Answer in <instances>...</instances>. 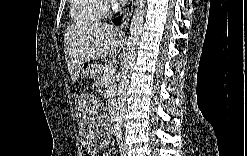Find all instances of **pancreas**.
<instances>
[{
  "label": "pancreas",
  "mask_w": 247,
  "mask_h": 156,
  "mask_svg": "<svg viewBox=\"0 0 247 156\" xmlns=\"http://www.w3.org/2000/svg\"><path fill=\"white\" fill-rule=\"evenodd\" d=\"M108 68H112V66L109 64L97 66V75L95 78V82L101 87L107 84V96L109 97L108 101L110 103L113 93L116 89V83L114 75H112L108 79L105 78V70Z\"/></svg>",
  "instance_id": "cf45deb5"
}]
</instances>
